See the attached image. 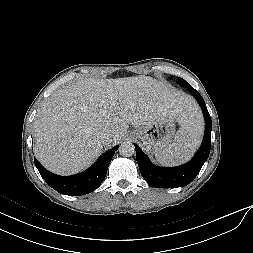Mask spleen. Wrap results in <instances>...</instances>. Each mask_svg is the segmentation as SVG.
Returning <instances> with one entry per match:
<instances>
[{"instance_id": "obj_1", "label": "spleen", "mask_w": 253, "mask_h": 253, "mask_svg": "<svg viewBox=\"0 0 253 253\" xmlns=\"http://www.w3.org/2000/svg\"><path fill=\"white\" fill-rule=\"evenodd\" d=\"M203 128L201 114L197 108L190 105L173 143L163 151L156 153V160L165 166H176L190 160L200 145Z\"/></svg>"}]
</instances>
